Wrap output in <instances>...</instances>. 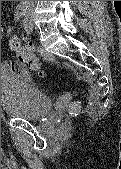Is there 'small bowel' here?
I'll use <instances>...</instances> for the list:
<instances>
[{"label":"small bowel","mask_w":121,"mask_h":169,"mask_svg":"<svg viewBox=\"0 0 121 169\" xmlns=\"http://www.w3.org/2000/svg\"><path fill=\"white\" fill-rule=\"evenodd\" d=\"M1 69L4 72H11V73H15L18 74L20 76L29 77V72L28 69L25 65V63L21 62V61H4L1 64Z\"/></svg>","instance_id":"obj_1"}]
</instances>
